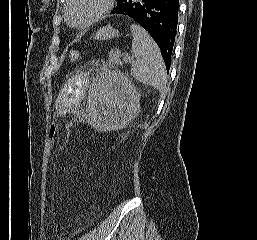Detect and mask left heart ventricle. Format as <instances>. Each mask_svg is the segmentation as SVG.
I'll list each match as a JSON object with an SVG mask.
<instances>
[{"instance_id": "obj_1", "label": "left heart ventricle", "mask_w": 257, "mask_h": 240, "mask_svg": "<svg viewBox=\"0 0 257 240\" xmlns=\"http://www.w3.org/2000/svg\"><path fill=\"white\" fill-rule=\"evenodd\" d=\"M103 0H73L69 6V16L73 23H83L102 6Z\"/></svg>"}]
</instances>
